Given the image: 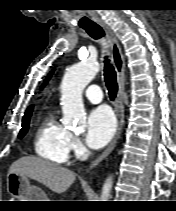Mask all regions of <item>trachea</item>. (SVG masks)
<instances>
[{
    "instance_id": "3493384b",
    "label": "trachea",
    "mask_w": 176,
    "mask_h": 211,
    "mask_svg": "<svg viewBox=\"0 0 176 211\" xmlns=\"http://www.w3.org/2000/svg\"><path fill=\"white\" fill-rule=\"evenodd\" d=\"M82 28L94 39H100L105 36L103 29L97 24L84 26ZM104 63V79L106 87L108 89L110 99L114 100L118 91L116 72L114 67L110 64V60L107 56L105 57Z\"/></svg>"
}]
</instances>
